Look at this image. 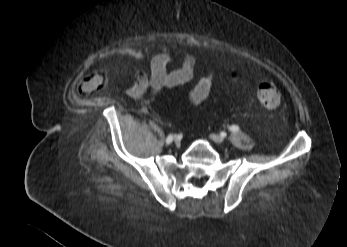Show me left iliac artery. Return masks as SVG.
Masks as SVG:
<instances>
[{"mask_svg": "<svg viewBox=\"0 0 347 247\" xmlns=\"http://www.w3.org/2000/svg\"><path fill=\"white\" fill-rule=\"evenodd\" d=\"M229 130L231 132H238L240 130L239 126L238 125H232L229 127Z\"/></svg>", "mask_w": 347, "mask_h": 247, "instance_id": "44dca946", "label": "left iliac artery"}]
</instances>
